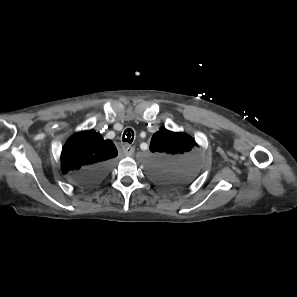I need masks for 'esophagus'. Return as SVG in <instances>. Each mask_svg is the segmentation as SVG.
I'll use <instances>...</instances> for the list:
<instances>
[{
	"label": "esophagus",
	"mask_w": 297,
	"mask_h": 297,
	"mask_svg": "<svg viewBox=\"0 0 297 297\" xmlns=\"http://www.w3.org/2000/svg\"><path fill=\"white\" fill-rule=\"evenodd\" d=\"M122 149H123V152H124V154L126 156H131L135 151V148L133 146L128 145V144H124Z\"/></svg>",
	"instance_id": "34e87169"
}]
</instances>
